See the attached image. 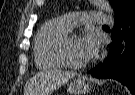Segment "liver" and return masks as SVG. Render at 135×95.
<instances>
[{"label":"liver","instance_id":"6515ba94","mask_svg":"<svg viewBox=\"0 0 135 95\" xmlns=\"http://www.w3.org/2000/svg\"><path fill=\"white\" fill-rule=\"evenodd\" d=\"M74 76V72H64L61 70L39 72L26 85L24 95H49Z\"/></svg>","mask_w":135,"mask_h":95}]
</instances>
